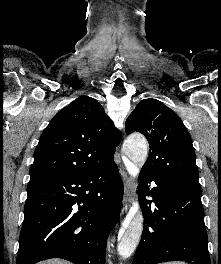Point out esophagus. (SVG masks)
Returning <instances> with one entry per match:
<instances>
[{
	"label": "esophagus",
	"mask_w": 221,
	"mask_h": 264,
	"mask_svg": "<svg viewBox=\"0 0 221 264\" xmlns=\"http://www.w3.org/2000/svg\"><path fill=\"white\" fill-rule=\"evenodd\" d=\"M124 178H125V186H124V196H123L122 210H121L122 214H125L130 209L131 196H132L131 181L126 174H124Z\"/></svg>",
	"instance_id": "1"
}]
</instances>
